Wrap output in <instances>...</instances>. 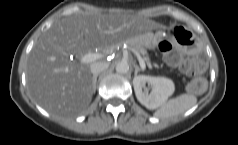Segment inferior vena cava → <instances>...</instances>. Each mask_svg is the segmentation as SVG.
<instances>
[{
  "label": "inferior vena cava",
  "instance_id": "602c4592",
  "mask_svg": "<svg viewBox=\"0 0 238 145\" xmlns=\"http://www.w3.org/2000/svg\"><path fill=\"white\" fill-rule=\"evenodd\" d=\"M109 67L107 62H94L90 65L91 73L95 76L101 73L102 71L106 70Z\"/></svg>",
  "mask_w": 238,
  "mask_h": 145
}]
</instances>
